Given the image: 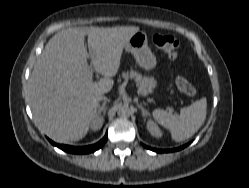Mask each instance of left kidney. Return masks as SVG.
<instances>
[{"instance_id": "left-kidney-1", "label": "left kidney", "mask_w": 249, "mask_h": 188, "mask_svg": "<svg viewBox=\"0 0 249 188\" xmlns=\"http://www.w3.org/2000/svg\"><path fill=\"white\" fill-rule=\"evenodd\" d=\"M147 129L150 132V134L154 137L159 138L162 136V131L152 120H149L147 122Z\"/></svg>"}]
</instances>
